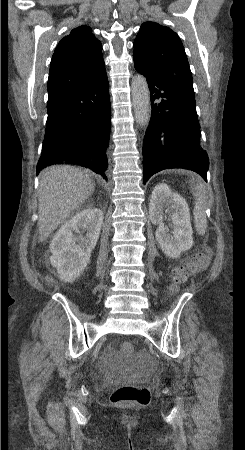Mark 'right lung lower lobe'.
<instances>
[{
  "label": "right lung lower lobe",
  "instance_id": "98d812e1",
  "mask_svg": "<svg viewBox=\"0 0 245 450\" xmlns=\"http://www.w3.org/2000/svg\"><path fill=\"white\" fill-rule=\"evenodd\" d=\"M47 109L37 174L53 164H77L107 179L111 108L106 70Z\"/></svg>",
  "mask_w": 245,
  "mask_h": 450
}]
</instances>
